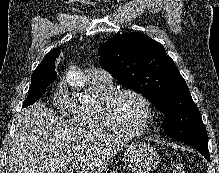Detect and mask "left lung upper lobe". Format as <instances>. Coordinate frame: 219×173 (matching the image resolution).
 Segmentation results:
<instances>
[{"instance_id": "left-lung-upper-lobe-1", "label": "left lung upper lobe", "mask_w": 219, "mask_h": 173, "mask_svg": "<svg viewBox=\"0 0 219 173\" xmlns=\"http://www.w3.org/2000/svg\"><path fill=\"white\" fill-rule=\"evenodd\" d=\"M98 51L102 68L123 86L150 99L164 113L166 135L182 142L208 145L200 111L162 44L133 32L112 37Z\"/></svg>"}]
</instances>
